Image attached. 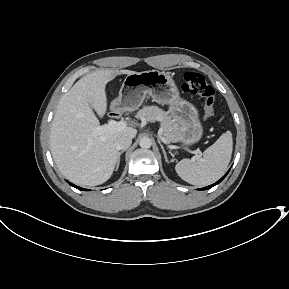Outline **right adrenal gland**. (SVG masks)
<instances>
[{
    "instance_id": "2a0ac1e0",
    "label": "right adrenal gland",
    "mask_w": 289,
    "mask_h": 289,
    "mask_svg": "<svg viewBox=\"0 0 289 289\" xmlns=\"http://www.w3.org/2000/svg\"><path fill=\"white\" fill-rule=\"evenodd\" d=\"M125 151H126V150H121V151L118 152V155H117V164H116L115 170H118L119 164H120V156H121V154L124 153Z\"/></svg>"
}]
</instances>
